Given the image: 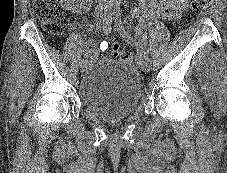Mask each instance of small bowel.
<instances>
[{
	"mask_svg": "<svg viewBox=\"0 0 227 173\" xmlns=\"http://www.w3.org/2000/svg\"><path fill=\"white\" fill-rule=\"evenodd\" d=\"M186 4L187 0H144L147 14L145 17H139V24L136 27L137 34L141 35L143 33L147 19L162 20L177 18L186 8ZM94 28L95 26H90V29ZM90 46L91 42L89 41L86 44L84 56L92 63L96 59V54Z\"/></svg>",
	"mask_w": 227,
	"mask_h": 173,
	"instance_id": "1",
	"label": "small bowel"
}]
</instances>
